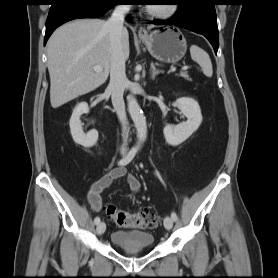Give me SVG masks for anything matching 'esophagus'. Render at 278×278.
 Returning <instances> with one entry per match:
<instances>
[{
	"mask_svg": "<svg viewBox=\"0 0 278 278\" xmlns=\"http://www.w3.org/2000/svg\"><path fill=\"white\" fill-rule=\"evenodd\" d=\"M138 35H139V37H145L148 35V31L146 30L145 27L140 26L138 29Z\"/></svg>",
	"mask_w": 278,
	"mask_h": 278,
	"instance_id": "obj_1",
	"label": "esophagus"
}]
</instances>
